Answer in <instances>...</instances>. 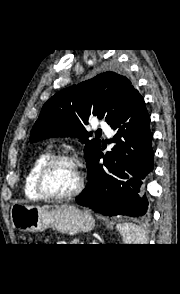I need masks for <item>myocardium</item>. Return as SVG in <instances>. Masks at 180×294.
<instances>
[{
	"instance_id": "obj_1",
	"label": "myocardium",
	"mask_w": 180,
	"mask_h": 294,
	"mask_svg": "<svg viewBox=\"0 0 180 294\" xmlns=\"http://www.w3.org/2000/svg\"><path fill=\"white\" fill-rule=\"evenodd\" d=\"M60 162H68L75 166L78 172V184L73 189L72 191L65 193V194H52L49 193L44 185L45 177L49 170L56 165L57 163ZM35 185H36V190L39 193V195L47 200H52V201H62V200H67L76 197L79 195L85 186V177L83 173L81 172L76 159L68 154H58V155H53L50 158H48L39 168L36 174V180H35Z\"/></svg>"
}]
</instances>
